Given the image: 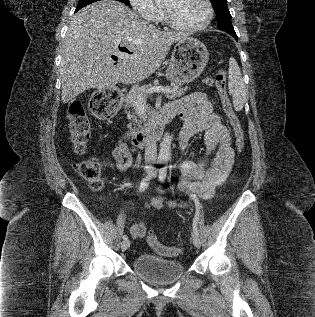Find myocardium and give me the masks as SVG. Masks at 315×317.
Returning <instances> with one entry per match:
<instances>
[{"instance_id":"myocardium-1","label":"myocardium","mask_w":315,"mask_h":317,"mask_svg":"<svg viewBox=\"0 0 315 317\" xmlns=\"http://www.w3.org/2000/svg\"><path fill=\"white\" fill-rule=\"evenodd\" d=\"M206 8H207V17L205 19V21L197 26H185L182 24L177 23L172 17L171 15L168 13V11H166L165 9L163 10V15H164V19L166 21V23L176 29V30H180V31H185V32H198V31H202L204 29H206L212 22L213 17H214V9H213V5L211 3L210 0H203Z\"/></svg>"}]
</instances>
